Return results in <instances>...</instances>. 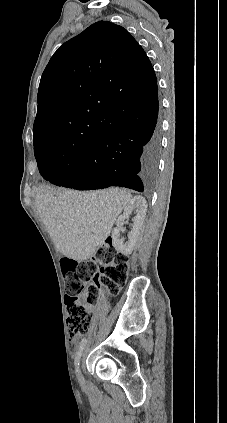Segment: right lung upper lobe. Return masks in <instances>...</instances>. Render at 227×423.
Wrapping results in <instances>:
<instances>
[{
    "label": "right lung upper lobe",
    "mask_w": 227,
    "mask_h": 423,
    "mask_svg": "<svg viewBox=\"0 0 227 423\" xmlns=\"http://www.w3.org/2000/svg\"><path fill=\"white\" fill-rule=\"evenodd\" d=\"M157 79L143 48L123 27L99 21L65 42L44 70L34 122V141L55 138L73 148L90 147L125 122L108 109L146 100Z\"/></svg>",
    "instance_id": "obj_1"
}]
</instances>
